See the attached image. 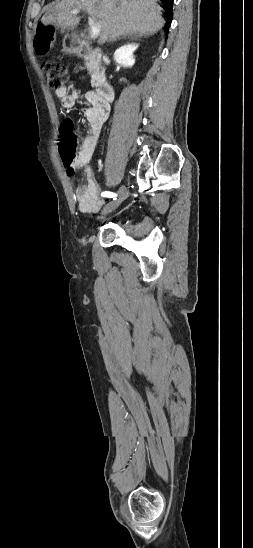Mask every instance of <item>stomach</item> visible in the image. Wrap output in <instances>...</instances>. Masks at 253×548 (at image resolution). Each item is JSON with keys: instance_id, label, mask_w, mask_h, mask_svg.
Returning <instances> with one entry per match:
<instances>
[{"instance_id": "stomach-1", "label": "stomach", "mask_w": 253, "mask_h": 548, "mask_svg": "<svg viewBox=\"0 0 253 548\" xmlns=\"http://www.w3.org/2000/svg\"><path fill=\"white\" fill-rule=\"evenodd\" d=\"M67 39V37H66ZM66 39L64 40V49L69 52V53H74L77 51V46L76 45H72L71 43L67 44L66 43Z\"/></svg>"}]
</instances>
